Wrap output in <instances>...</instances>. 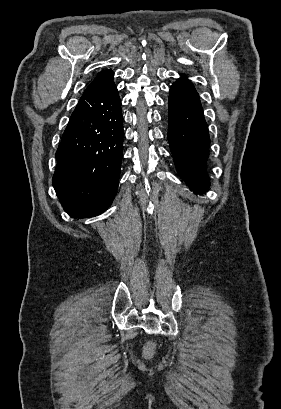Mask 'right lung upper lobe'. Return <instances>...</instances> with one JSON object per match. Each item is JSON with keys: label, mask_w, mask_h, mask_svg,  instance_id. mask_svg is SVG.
Masks as SVG:
<instances>
[{"label": "right lung upper lobe", "mask_w": 281, "mask_h": 409, "mask_svg": "<svg viewBox=\"0 0 281 409\" xmlns=\"http://www.w3.org/2000/svg\"><path fill=\"white\" fill-rule=\"evenodd\" d=\"M110 71H111V70H104V71H102L101 73H99V74L96 76V78H95L92 82L97 81V80L100 79L102 76L108 74Z\"/></svg>", "instance_id": "1"}]
</instances>
